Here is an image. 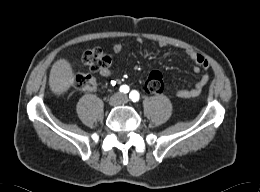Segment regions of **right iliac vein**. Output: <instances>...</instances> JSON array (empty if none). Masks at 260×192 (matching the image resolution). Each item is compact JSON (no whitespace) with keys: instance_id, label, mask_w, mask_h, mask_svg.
<instances>
[{"instance_id":"obj_1","label":"right iliac vein","mask_w":260,"mask_h":192,"mask_svg":"<svg viewBox=\"0 0 260 192\" xmlns=\"http://www.w3.org/2000/svg\"><path fill=\"white\" fill-rule=\"evenodd\" d=\"M121 101V98H120V95L119 94H115L113 95L110 99H109V104L111 106H116L120 103Z\"/></svg>"}]
</instances>
